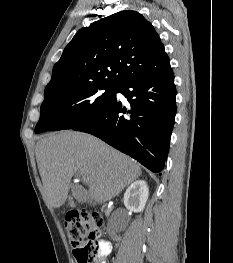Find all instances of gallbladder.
<instances>
[{"mask_svg": "<svg viewBox=\"0 0 233 263\" xmlns=\"http://www.w3.org/2000/svg\"><path fill=\"white\" fill-rule=\"evenodd\" d=\"M77 189H75L76 191ZM82 200V199H81ZM69 207L74 208L76 206V203L74 202L73 198H71L68 202Z\"/></svg>", "mask_w": 233, "mask_h": 263, "instance_id": "bac80fb5", "label": "gallbladder"}]
</instances>
